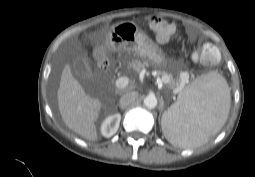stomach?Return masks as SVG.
<instances>
[{
    "label": "stomach",
    "instance_id": "obj_1",
    "mask_svg": "<svg viewBox=\"0 0 255 177\" xmlns=\"http://www.w3.org/2000/svg\"><path fill=\"white\" fill-rule=\"evenodd\" d=\"M107 45L113 51L133 53L158 66L164 67L167 64L161 48L132 21L114 25L108 32ZM99 50L104 54L103 48Z\"/></svg>",
    "mask_w": 255,
    "mask_h": 177
}]
</instances>
